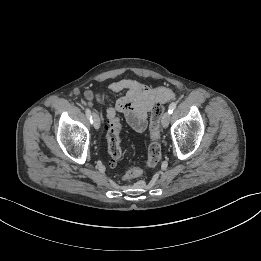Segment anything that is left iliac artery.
<instances>
[{
	"label": "left iliac artery",
	"instance_id": "left-iliac-artery-1",
	"mask_svg": "<svg viewBox=\"0 0 261 261\" xmlns=\"http://www.w3.org/2000/svg\"><path fill=\"white\" fill-rule=\"evenodd\" d=\"M176 103L175 102H172L170 105H169V107H168V112L170 113V114H172L173 113V111L175 110V108H176Z\"/></svg>",
	"mask_w": 261,
	"mask_h": 261
}]
</instances>
